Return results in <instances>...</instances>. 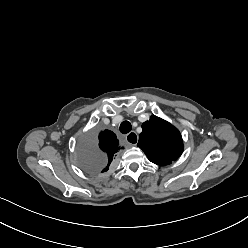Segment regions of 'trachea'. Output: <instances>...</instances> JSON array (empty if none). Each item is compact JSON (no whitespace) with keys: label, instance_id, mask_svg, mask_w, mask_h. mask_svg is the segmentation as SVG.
Masks as SVG:
<instances>
[{"label":"trachea","instance_id":"1","mask_svg":"<svg viewBox=\"0 0 248 248\" xmlns=\"http://www.w3.org/2000/svg\"><path fill=\"white\" fill-rule=\"evenodd\" d=\"M131 129H132V126H131V123L129 121H123L120 124V131L123 134L129 133L131 131Z\"/></svg>","mask_w":248,"mask_h":248}]
</instances>
